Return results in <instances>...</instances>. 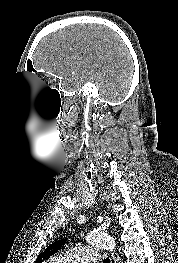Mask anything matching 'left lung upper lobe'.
Instances as JSON below:
<instances>
[{
  "mask_svg": "<svg viewBox=\"0 0 178 263\" xmlns=\"http://www.w3.org/2000/svg\"><path fill=\"white\" fill-rule=\"evenodd\" d=\"M66 240L67 239H61L59 241H56V242L50 244L46 248V250L38 256L35 263H42L44 260H48L50 258V256L57 253L62 248V246L66 243Z\"/></svg>",
  "mask_w": 178,
  "mask_h": 263,
  "instance_id": "1",
  "label": "left lung upper lobe"
}]
</instances>
